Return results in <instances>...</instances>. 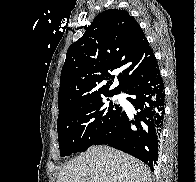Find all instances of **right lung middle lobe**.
<instances>
[{
  "instance_id": "1",
  "label": "right lung middle lobe",
  "mask_w": 196,
  "mask_h": 182,
  "mask_svg": "<svg viewBox=\"0 0 196 182\" xmlns=\"http://www.w3.org/2000/svg\"><path fill=\"white\" fill-rule=\"evenodd\" d=\"M121 111V107L111 101L105 104L99 96L60 113L57 120L60 156L87 150Z\"/></svg>"
}]
</instances>
